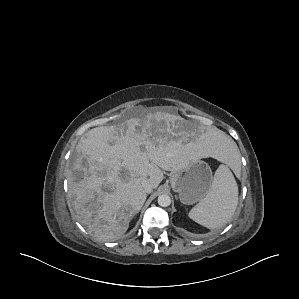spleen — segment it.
Here are the masks:
<instances>
[{
	"label": "spleen",
	"mask_w": 299,
	"mask_h": 299,
	"mask_svg": "<svg viewBox=\"0 0 299 299\" xmlns=\"http://www.w3.org/2000/svg\"><path fill=\"white\" fill-rule=\"evenodd\" d=\"M237 204L236 180L229 167L222 164L215 172L210 192L191 209L188 216L206 228L216 229L232 218Z\"/></svg>",
	"instance_id": "3e777b00"
}]
</instances>
